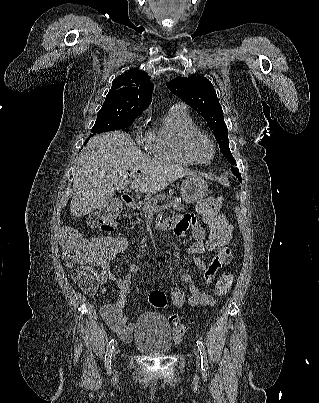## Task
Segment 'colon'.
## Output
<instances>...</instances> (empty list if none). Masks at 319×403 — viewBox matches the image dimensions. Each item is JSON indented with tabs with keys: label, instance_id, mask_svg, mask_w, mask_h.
<instances>
[{
	"label": "colon",
	"instance_id": "colon-1",
	"mask_svg": "<svg viewBox=\"0 0 319 403\" xmlns=\"http://www.w3.org/2000/svg\"><path fill=\"white\" fill-rule=\"evenodd\" d=\"M224 199L221 195L207 198L201 206V214L208 223V247L217 250L219 247H229L234 243L233 221L230 218H221V208ZM124 209L123 201H112L111 208L95 214L90 219V224L100 230V234H88V241L73 228H66L62 231L61 243L67 258L79 265L73 271L72 278L77 285L86 293H94L99 286V278L95 270L86 266L87 263L96 261L99 258H125L126 253L133 248V241L129 240L128 234H107L116 228V217L118 210ZM233 275L229 272L223 273L218 279L215 292L218 296L225 295L233 284ZM186 284L193 282L191 275L184 277ZM196 288V285H193ZM149 302L156 308L167 306V296L161 290H154L149 295ZM172 322L173 336L177 341L183 339L186 333V326L180 321L177 314L170 317Z\"/></svg>",
	"mask_w": 319,
	"mask_h": 403
}]
</instances>
